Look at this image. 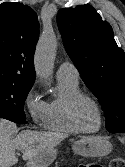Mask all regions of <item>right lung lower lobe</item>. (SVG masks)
I'll list each match as a JSON object with an SVG mask.
<instances>
[{
	"label": "right lung lower lobe",
	"mask_w": 125,
	"mask_h": 167,
	"mask_svg": "<svg viewBox=\"0 0 125 167\" xmlns=\"http://www.w3.org/2000/svg\"><path fill=\"white\" fill-rule=\"evenodd\" d=\"M0 118H4L15 123H27L26 118H18L2 111H0Z\"/></svg>",
	"instance_id": "98d812e1"
}]
</instances>
